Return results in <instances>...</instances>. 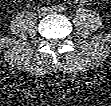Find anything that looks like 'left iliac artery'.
Returning <instances> with one entry per match:
<instances>
[{"instance_id": "44dca946", "label": "left iliac artery", "mask_w": 111, "mask_h": 106, "mask_svg": "<svg viewBox=\"0 0 111 106\" xmlns=\"http://www.w3.org/2000/svg\"><path fill=\"white\" fill-rule=\"evenodd\" d=\"M59 11L64 12L65 11V7L64 6H60L59 7Z\"/></svg>"}]
</instances>
